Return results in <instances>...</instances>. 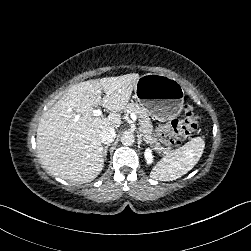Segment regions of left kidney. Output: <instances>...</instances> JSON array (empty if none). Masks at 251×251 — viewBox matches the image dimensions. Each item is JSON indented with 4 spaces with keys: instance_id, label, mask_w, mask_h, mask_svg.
<instances>
[{
    "instance_id": "left-kidney-1",
    "label": "left kidney",
    "mask_w": 251,
    "mask_h": 251,
    "mask_svg": "<svg viewBox=\"0 0 251 251\" xmlns=\"http://www.w3.org/2000/svg\"><path fill=\"white\" fill-rule=\"evenodd\" d=\"M160 151V150H159ZM144 159L147 166H151L155 163L154 149L151 147H146L144 150Z\"/></svg>"
}]
</instances>
